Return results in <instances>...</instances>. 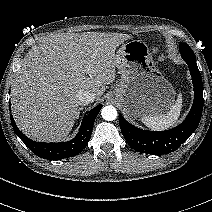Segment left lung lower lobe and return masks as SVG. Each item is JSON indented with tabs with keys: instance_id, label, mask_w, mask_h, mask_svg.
Here are the masks:
<instances>
[{
	"instance_id": "0a47b994",
	"label": "left lung lower lobe",
	"mask_w": 212,
	"mask_h": 212,
	"mask_svg": "<svg viewBox=\"0 0 212 212\" xmlns=\"http://www.w3.org/2000/svg\"><path fill=\"white\" fill-rule=\"evenodd\" d=\"M188 64L194 86V102L185 120L166 131H147L129 124L119 114V124L127 143L136 151L153 155L175 151L196 130L203 110V83L195 55L181 54Z\"/></svg>"
}]
</instances>
